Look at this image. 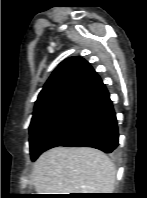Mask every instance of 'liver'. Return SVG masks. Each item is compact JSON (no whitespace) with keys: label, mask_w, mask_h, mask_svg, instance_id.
<instances>
[{"label":"liver","mask_w":147,"mask_h":198,"mask_svg":"<svg viewBox=\"0 0 147 198\" xmlns=\"http://www.w3.org/2000/svg\"><path fill=\"white\" fill-rule=\"evenodd\" d=\"M31 180L37 194L112 193L116 169L100 150L55 147L37 159Z\"/></svg>","instance_id":"liver-1"}]
</instances>
